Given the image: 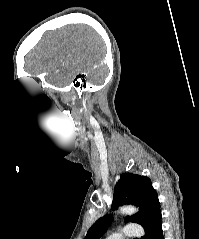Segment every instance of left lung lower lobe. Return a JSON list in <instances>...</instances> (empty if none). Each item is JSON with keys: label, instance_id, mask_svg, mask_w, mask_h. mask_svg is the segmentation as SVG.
<instances>
[{"label": "left lung lower lobe", "instance_id": "left-lung-lower-lobe-1", "mask_svg": "<svg viewBox=\"0 0 199 239\" xmlns=\"http://www.w3.org/2000/svg\"><path fill=\"white\" fill-rule=\"evenodd\" d=\"M145 235L141 239H164L161 224V211H158L144 227Z\"/></svg>", "mask_w": 199, "mask_h": 239}]
</instances>
